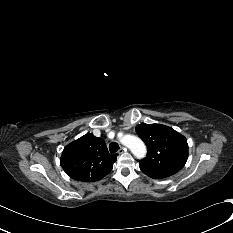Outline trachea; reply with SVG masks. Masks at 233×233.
I'll return each mask as SVG.
<instances>
[{
    "label": "trachea",
    "instance_id": "1",
    "mask_svg": "<svg viewBox=\"0 0 233 233\" xmlns=\"http://www.w3.org/2000/svg\"><path fill=\"white\" fill-rule=\"evenodd\" d=\"M118 148H119V146H118V144L116 142H112V143L109 144V151L111 153L117 152Z\"/></svg>",
    "mask_w": 233,
    "mask_h": 233
}]
</instances>
